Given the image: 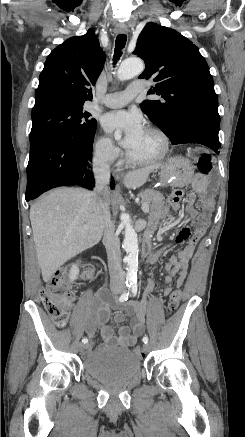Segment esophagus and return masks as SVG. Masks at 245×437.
Segmentation results:
<instances>
[{
  "label": "esophagus",
  "mask_w": 245,
  "mask_h": 437,
  "mask_svg": "<svg viewBox=\"0 0 245 437\" xmlns=\"http://www.w3.org/2000/svg\"><path fill=\"white\" fill-rule=\"evenodd\" d=\"M115 30L119 34H126L128 32V29H127L126 25H124V24H117ZM116 178L118 179L119 175H116Z\"/></svg>",
  "instance_id": "obj_1"
}]
</instances>
